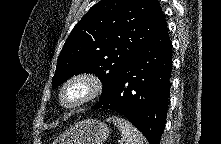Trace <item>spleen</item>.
Listing matches in <instances>:
<instances>
[{"label":"spleen","instance_id":"3e777b00","mask_svg":"<svg viewBox=\"0 0 221 144\" xmlns=\"http://www.w3.org/2000/svg\"><path fill=\"white\" fill-rule=\"evenodd\" d=\"M109 121L119 128L125 144H143L142 134L128 120L119 116H112Z\"/></svg>","mask_w":221,"mask_h":144}]
</instances>
